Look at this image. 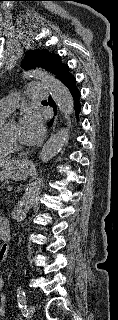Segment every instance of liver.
Wrapping results in <instances>:
<instances>
[{"mask_svg": "<svg viewBox=\"0 0 118 320\" xmlns=\"http://www.w3.org/2000/svg\"><path fill=\"white\" fill-rule=\"evenodd\" d=\"M15 162H16V160H13V159H12V160L0 159V168L5 167V166L10 165V164H13V163H15Z\"/></svg>", "mask_w": 118, "mask_h": 320, "instance_id": "1", "label": "liver"}]
</instances>
